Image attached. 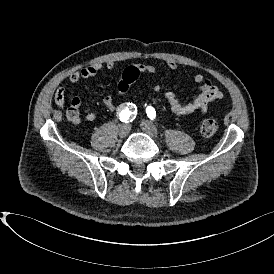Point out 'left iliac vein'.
Segmentation results:
<instances>
[{"mask_svg":"<svg viewBox=\"0 0 274 274\" xmlns=\"http://www.w3.org/2000/svg\"><path fill=\"white\" fill-rule=\"evenodd\" d=\"M141 129L147 133L149 136L156 138L158 136V131L155 125L148 121V120H142L140 123Z\"/></svg>","mask_w":274,"mask_h":274,"instance_id":"4c4485c4","label":"left iliac vein"}]
</instances>
